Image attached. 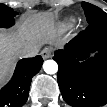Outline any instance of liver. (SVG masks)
<instances>
[{
  "label": "liver",
  "instance_id": "1",
  "mask_svg": "<svg viewBox=\"0 0 107 107\" xmlns=\"http://www.w3.org/2000/svg\"><path fill=\"white\" fill-rule=\"evenodd\" d=\"M57 26L54 16L40 12L26 18L16 30L0 33V76L4 81L12 73L19 57V50L25 47H41L55 37Z\"/></svg>",
  "mask_w": 107,
  "mask_h": 107
}]
</instances>
